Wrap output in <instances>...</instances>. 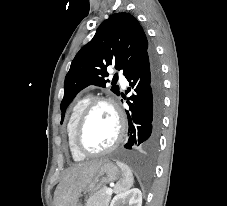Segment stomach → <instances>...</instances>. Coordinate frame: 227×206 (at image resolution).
Masks as SVG:
<instances>
[{"mask_svg": "<svg viewBox=\"0 0 227 206\" xmlns=\"http://www.w3.org/2000/svg\"><path fill=\"white\" fill-rule=\"evenodd\" d=\"M120 176L121 171L119 168L114 163L105 160L82 192L84 195L92 193L106 184L116 181ZM76 206H82L81 201L78 200Z\"/></svg>", "mask_w": 227, "mask_h": 206, "instance_id": "stomach-1", "label": "stomach"}]
</instances>
